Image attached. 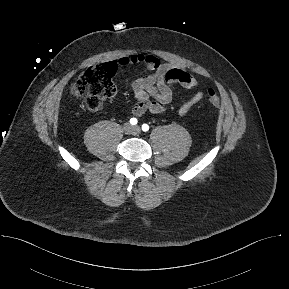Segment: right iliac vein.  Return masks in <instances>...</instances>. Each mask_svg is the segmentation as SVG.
<instances>
[{"label":"right iliac vein","instance_id":"1","mask_svg":"<svg viewBox=\"0 0 289 289\" xmlns=\"http://www.w3.org/2000/svg\"><path fill=\"white\" fill-rule=\"evenodd\" d=\"M123 129H124V131H125L126 133H131V132L133 131V128H132V126H131L129 123H126V124L124 125Z\"/></svg>","mask_w":289,"mask_h":289}]
</instances>
